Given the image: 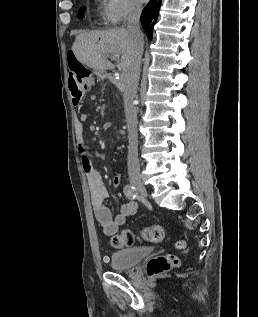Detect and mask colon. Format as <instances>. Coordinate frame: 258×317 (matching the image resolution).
I'll use <instances>...</instances> for the list:
<instances>
[{
    "mask_svg": "<svg viewBox=\"0 0 258 317\" xmlns=\"http://www.w3.org/2000/svg\"><path fill=\"white\" fill-rule=\"evenodd\" d=\"M67 63L71 73L77 75L85 87H90L94 82L93 72L79 62L75 53L69 50ZM163 237V229L157 224H146L138 232L125 229L110 238V243L115 248L131 247L136 241L140 243H157ZM177 247L184 248V243L179 242ZM179 265V260L172 254L158 255L150 259L147 264V273L150 277L161 275Z\"/></svg>",
    "mask_w": 258,
    "mask_h": 317,
    "instance_id": "5ec220e1",
    "label": "colon"
}]
</instances>
